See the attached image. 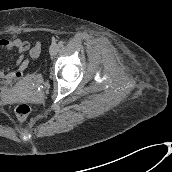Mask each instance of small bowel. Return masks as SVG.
Wrapping results in <instances>:
<instances>
[{
  "label": "small bowel",
  "instance_id": "small-bowel-1",
  "mask_svg": "<svg viewBox=\"0 0 172 172\" xmlns=\"http://www.w3.org/2000/svg\"><path fill=\"white\" fill-rule=\"evenodd\" d=\"M0 50H15L18 55L14 68L0 69V80L4 84H11L23 75V72L28 66L29 61L26 53L28 52L31 58L39 57L41 44L36 42L31 46L28 41L19 38H0Z\"/></svg>",
  "mask_w": 172,
  "mask_h": 172
}]
</instances>
